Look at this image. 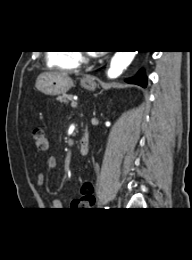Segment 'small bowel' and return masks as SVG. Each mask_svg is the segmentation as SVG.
<instances>
[{
  "instance_id": "small-bowel-1",
  "label": "small bowel",
  "mask_w": 192,
  "mask_h": 260,
  "mask_svg": "<svg viewBox=\"0 0 192 260\" xmlns=\"http://www.w3.org/2000/svg\"><path fill=\"white\" fill-rule=\"evenodd\" d=\"M46 167L48 170H54L57 167V160L54 157H49L46 161ZM46 180L44 172H40L37 176V185L42 186ZM94 205V198H84L80 201L77 199L73 202L72 206L75 208H91ZM49 207L53 210H61L64 208V204L59 199H52L49 202Z\"/></svg>"
}]
</instances>
